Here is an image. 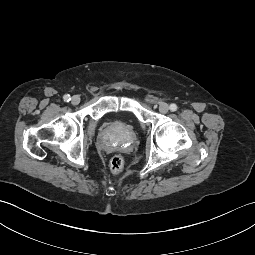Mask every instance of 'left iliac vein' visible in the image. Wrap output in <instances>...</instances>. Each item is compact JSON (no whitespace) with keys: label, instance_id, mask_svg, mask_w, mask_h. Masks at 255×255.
<instances>
[{"label":"left iliac vein","instance_id":"4c4485c4","mask_svg":"<svg viewBox=\"0 0 255 255\" xmlns=\"http://www.w3.org/2000/svg\"><path fill=\"white\" fill-rule=\"evenodd\" d=\"M159 111H160L161 113H163V114L167 113V112L169 111V106H168V104H167V103H164V102L160 103V105H159Z\"/></svg>","mask_w":255,"mask_h":255}]
</instances>
